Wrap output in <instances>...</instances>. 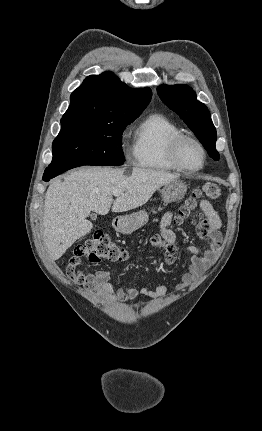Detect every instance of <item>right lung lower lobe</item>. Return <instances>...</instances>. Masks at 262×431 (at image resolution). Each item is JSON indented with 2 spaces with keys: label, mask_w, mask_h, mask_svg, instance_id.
I'll return each instance as SVG.
<instances>
[{
  "label": "right lung lower lobe",
  "mask_w": 262,
  "mask_h": 431,
  "mask_svg": "<svg viewBox=\"0 0 262 431\" xmlns=\"http://www.w3.org/2000/svg\"><path fill=\"white\" fill-rule=\"evenodd\" d=\"M79 166H82V165H67V166H62V167H47L45 172H44V175H43V180L49 181L50 179L58 176L59 174L65 172L69 169L79 167Z\"/></svg>",
  "instance_id": "1"
}]
</instances>
